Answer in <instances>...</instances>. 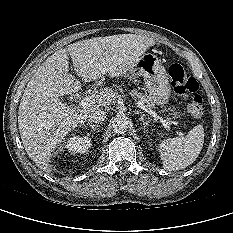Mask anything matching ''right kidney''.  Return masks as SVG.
Returning <instances> with one entry per match:
<instances>
[{
	"mask_svg": "<svg viewBox=\"0 0 233 233\" xmlns=\"http://www.w3.org/2000/svg\"><path fill=\"white\" fill-rule=\"evenodd\" d=\"M91 145V139L88 136L74 135L69 137L64 148L71 154H85Z\"/></svg>",
	"mask_w": 233,
	"mask_h": 233,
	"instance_id": "1",
	"label": "right kidney"
}]
</instances>
